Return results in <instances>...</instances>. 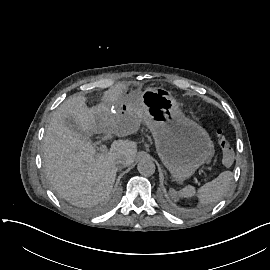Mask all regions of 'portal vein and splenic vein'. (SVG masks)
<instances>
[{
  "label": "portal vein and splenic vein",
  "instance_id": "portal-vein-and-splenic-vein-1",
  "mask_svg": "<svg viewBox=\"0 0 270 270\" xmlns=\"http://www.w3.org/2000/svg\"><path fill=\"white\" fill-rule=\"evenodd\" d=\"M98 151L100 153H104L105 151H107V145L105 143H101L99 146H98ZM204 175V174H203ZM205 176V175H204ZM207 178V177H206ZM210 180V179H208Z\"/></svg>",
  "mask_w": 270,
  "mask_h": 270
}]
</instances>
